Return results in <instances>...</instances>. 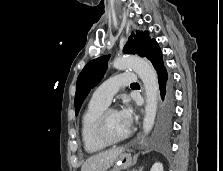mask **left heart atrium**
<instances>
[{
  "label": "left heart atrium",
  "instance_id": "obj_1",
  "mask_svg": "<svg viewBox=\"0 0 223 171\" xmlns=\"http://www.w3.org/2000/svg\"><path fill=\"white\" fill-rule=\"evenodd\" d=\"M119 115L123 119L124 123L130 128L132 124V110L130 107L126 106L122 108L119 112Z\"/></svg>",
  "mask_w": 223,
  "mask_h": 171
}]
</instances>
